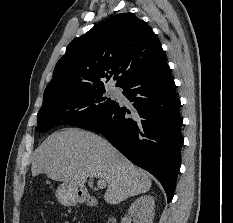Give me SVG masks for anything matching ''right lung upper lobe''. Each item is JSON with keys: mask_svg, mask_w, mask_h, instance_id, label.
<instances>
[{"mask_svg": "<svg viewBox=\"0 0 233 223\" xmlns=\"http://www.w3.org/2000/svg\"><path fill=\"white\" fill-rule=\"evenodd\" d=\"M165 63L151 27L132 14H118L69 43L45 89L43 105L104 87L113 75L116 87H121Z\"/></svg>", "mask_w": 233, "mask_h": 223, "instance_id": "right-lung-upper-lobe-1", "label": "right lung upper lobe"}]
</instances>
